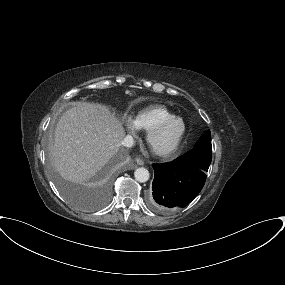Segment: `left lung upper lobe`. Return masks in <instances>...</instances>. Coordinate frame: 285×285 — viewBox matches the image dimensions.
I'll list each match as a JSON object with an SVG mask.
<instances>
[{
	"label": "left lung upper lobe",
	"instance_id": "1",
	"mask_svg": "<svg viewBox=\"0 0 285 285\" xmlns=\"http://www.w3.org/2000/svg\"><path fill=\"white\" fill-rule=\"evenodd\" d=\"M212 159L211 133L208 130L200 137L195 147L176 159L177 162L208 171Z\"/></svg>",
	"mask_w": 285,
	"mask_h": 285
}]
</instances>
